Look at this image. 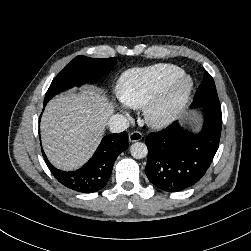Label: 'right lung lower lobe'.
I'll return each instance as SVG.
<instances>
[{
	"label": "right lung lower lobe",
	"instance_id": "obj_1",
	"mask_svg": "<svg viewBox=\"0 0 251 251\" xmlns=\"http://www.w3.org/2000/svg\"><path fill=\"white\" fill-rule=\"evenodd\" d=\"M128 148L126 132L105 136L93 157L79 170L66 172L55 168L43 157L54 177L65 187L82 193H93L102 189L108 182L117 156Z\"/></svg>",
	"mask_w": 251,
	"mask_h": 251
}]
</instances>
